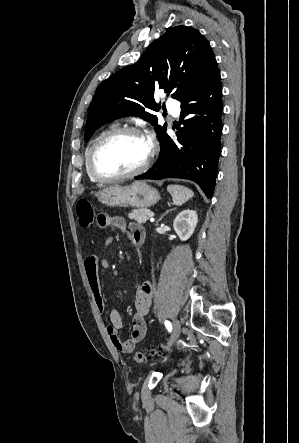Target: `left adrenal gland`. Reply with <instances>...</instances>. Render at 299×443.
Masks as SVG:
<instances>
[{"label":"left adrenal gland","mask_w":299,"mask_h":443,"mask_svg":"<svg viewBox=\"0 0 299 443\" xmlns=\"http://www.w3.org/2000/svg\"><path fill=\"white\" fill-rule=\"evenodd\" d=\"M172 210H174V209L167 210L164 214H162V216L160 217L159 220H162V218Z\"/></svg>","instance_id":"obj_1"}]
</instances>
